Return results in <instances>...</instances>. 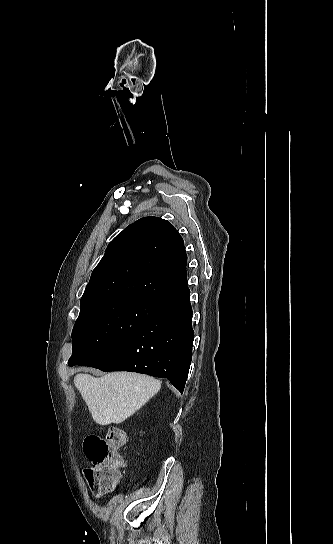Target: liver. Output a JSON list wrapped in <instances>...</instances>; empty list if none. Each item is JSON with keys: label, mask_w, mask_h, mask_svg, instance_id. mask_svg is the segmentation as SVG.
<instances>
[{"label": "liver", "mask_w": 333, "mask_h": 544, "mask_svg": "<svg viewBox=\"0 0 333 544\" xmlns=\"http://www.w3.org/2000/svg\"><path fill=\"white\" fill-rule=\"evenodd\" d=\"M74 384L93 420L100 425L122 423L161 388L159 380L130 372L109 373L100 378L78 374Z\"/></svg>", "instance_id": "liver-1"}]
</instances>
